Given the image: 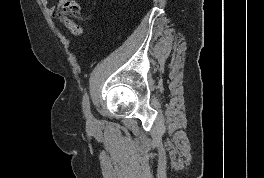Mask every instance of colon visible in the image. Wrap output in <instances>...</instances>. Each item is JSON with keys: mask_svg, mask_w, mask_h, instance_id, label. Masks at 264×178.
<instances>
[{"mask_svg": "<svg viewBox=\"0 0 264 178\" xmlns=\"http://www.w3.org/2000/svg\"><path fill=\"white\" fill-rule=\"evenodd\" d=\"M64 13L69 16H77L79 14V5L74 0H63Z\"/></svg>", "mask_w": 264, "mask_h": 178, "instance_id": "5ec220e1", "label": "colon"}]
</instances>
